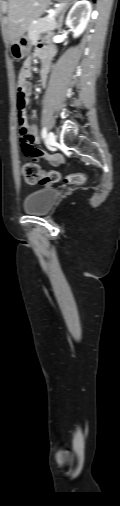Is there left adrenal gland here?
Instances as JSON below:
<instances>
[{"instance_id":"a2214340","label":"left adrenal gland","mask_w":120,"mask_h":506,"mask_svg":"<svg viewBox=\"0 0 120 506\" xmlns=\"http://www.w3.org/2000/svg\"><path fill=\"white\" fill-rule=\"evenodd\" d=\"M65 5H63L62 7H60L57 11V14H60L59 16V21H58V25H57V30H58V33H61V27H62V23H63V17H64V13H65Z\"/></svg>"}]
</instances>
